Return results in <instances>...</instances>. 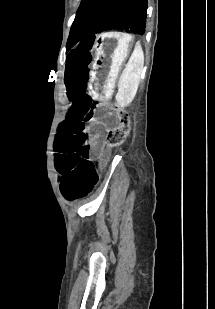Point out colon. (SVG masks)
<instances>
[{
  "instance_id": "5ec220e1",
  "label": "colon",
  "mask_w": 215,
  "mask_h": 309,
  "mask_svg": "<svg viewBox=\"0 0 215 309\" xmlns=\"http://www.w3.org/2000/svg\"><path fill=\"white\" fill-rule=\"evenodd\" d=\"M116 112L118 114V122L107 136V141L112 147H118L124 142L129 128L128 113L119 106H116Z\"/></svg>"
}]
</instances>
